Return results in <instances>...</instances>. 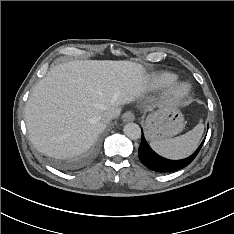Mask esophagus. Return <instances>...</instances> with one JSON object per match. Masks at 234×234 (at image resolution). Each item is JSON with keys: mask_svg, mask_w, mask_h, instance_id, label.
Listing matches in <instances>:
<instances>
[{"mask_svg": "<svg viewBox=\"0 0 234 234\" xmlns=\"http://www.w3.org/2000/svg\"><path fill=\"white\" fill-rule=\"evenodd\" d=\"M135 115L132 111H127L122 115V120L124 122H131L134 121Z\"/></svg>", "mask_w": 234, "mask_h": 234, "instance_id": "34e87169", "label": "esophagus"}]
</instances>
